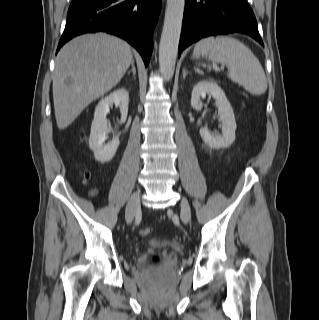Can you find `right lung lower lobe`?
I'll list each match as a JSON object with an SVG mask.
<instances>
[{
	"mask_svg": "<svg viewBox=\"0 0 319 320\" xmlns=\"http://www.w3.org/2000/svg\"><path fill=\"white\" fill-rule=\"evenodd\" d=\"M161 0H73L58 50L71 38L103 31L127 40L148 65Z\"/></svg>",
	"mask_w": 319,
	"mask_h": 320,
	"instance_id": "1",
	"label": "right lung lower lobe"
}]
</instances>
